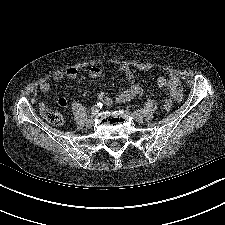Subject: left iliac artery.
<instances>
[{
  "label": "left iliac artery",
  "instance_id": "obj_1",
  "mask_svg": "<svg viewBox=\"0 0 225 225\" xmlns=\"http://www.w3.org/2000/svg\"><path fill=\"white\" fill-rule=\"evenodd\" d=\"M136 112H138L139 114H146L147 113V110L146 109H139L137 110Z\"/></svg>",
  "mask_w": 225,
  "mask_h": 225
}]
</instances>
